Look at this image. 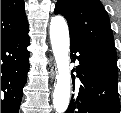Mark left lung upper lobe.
Returning <instances> with one entry per match:
<instances>
[{"instance_id": "left-lung-upper-lobe-1", "label": "left lung upper lobe", "mask_w": 121, "mask_h": 113, "mask_svg": "<svg viewBox=\"0 0 121 113\" xmlns=\"http://www.w3.org/2000/svg\"><path fill=\"white\" fill-rule=\"evenodd\" d=\"M55 14L66 18L70 39L118 72L110 20L99 0H58Z\"/></svg>"}]
</instances>
